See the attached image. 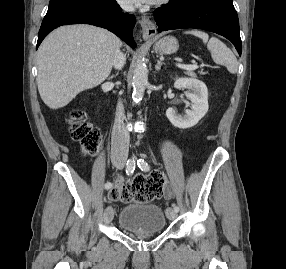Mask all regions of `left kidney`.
<instances>
[{"instance_id": "obj_1", "label": "left kidney", "mask_w": 286, "mask_h": 269, "mask_svg": "<svg viewBox=\"0 0 286 269\" xmlns=\"http://www.w3.org/2000/svg\"><path fill=\"white\" fill-rule=\"evenodd\" d=\"M174 87L185 88L189 91L186 96L192 102V109L185 110L184 115L176 114L173 108H168L166 116L175 127L186 129L195 126L208 111V90L206 85L194 78H179L175 81Z\"/></svg>"}]
</instances>
